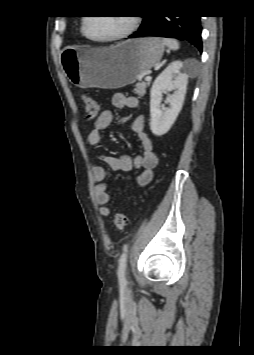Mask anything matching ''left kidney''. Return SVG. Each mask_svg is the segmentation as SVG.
<instances>
[{"label":"left kidney","mask_w":254,"mask_h":355,"mask_svg":"<svg viewBox=\"0 0 254 355\" xmlns=\"http://www.w3.org/2000/svg\"><path fill=\"white\" fill-rule=\"evenodd\" d=\"M188 75L182 61L171 62L155 79L150 91V129L156 136L166 134L182 109L187 90ZM166 103L169 108L162 110L160 104L163 92H171Z\"/></svg>","instance_id":"1"}]
</instances>
